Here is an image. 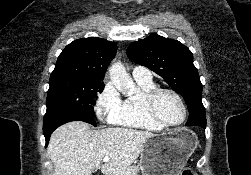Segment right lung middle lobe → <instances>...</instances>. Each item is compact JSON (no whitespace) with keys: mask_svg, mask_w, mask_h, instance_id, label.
Instances as JSON below:
<instances>
[{"mask_svg":"<svg viewBox=\"0 0 251 175\" xmlns=\"http://www.w3.org/2000/svg\"><path fill=\"white\" fill-rule=\"evenodd\" d=\"M47 92L46 116L54 113H81L95 118L94 108L97 92L104 86L50 79Z\"/></svg>","mask_w":251,"mask_h":175,"instance_id":"right-lung-middle-lobe-1","label":"right lung middle lobe"}]
</instances>
